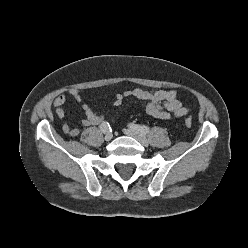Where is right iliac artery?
Wrapping results in <instances>:
<instances>
[{
	"label": "right iliac artery",
	"mask_w": 248,
	"mask_h": 248,
	"mask_svg": "<svg viewBox=\"0 0 248 248\" xmlns=\"http://www.w3.org/2000/svg\"><path fill=\"white\" fill-rule=\"evenodd\" d=\"M100 129L103 133H107L109 131H111V127L109 125L108 122H103L101 125H100Z\"/></svg>",
	"instance_id": "right-iliac-artery-1"
}]
</instances>
